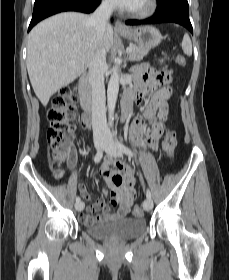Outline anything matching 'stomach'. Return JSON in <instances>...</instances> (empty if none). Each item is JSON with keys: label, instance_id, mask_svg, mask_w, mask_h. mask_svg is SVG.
<instances>
[{"label": "stomach", "instance_id": "obj_1", "mask_svg": "<svg viewBox=\"0 0 229 280\" xmlns=\"http://www.w3.org/2000/svg\"><path fill=\"white\" fill-rule=\"evenodd\" d=\"M127 39L134 41L140 48L152 49L162 40L160 31L153 26H141L121 33Z\"/></svg>", "mask_w": 229, "mask_h": 280}]
</instances>
